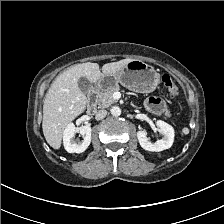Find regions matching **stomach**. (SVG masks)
I'll return each instance as SVG.
<instances>
[{"label": "stomach", "instance_id": "stomach-1", "mask_svg": "<svg viewBox=\"0 0 224 224\" xmlns=\"http://www.w3.org/2000/svg\"><path fill=\"white\" fill-rule=\"evenodd\" d=\"M118 84L138 93H150L159 84V74L153 66L132 59L118 72L103 75L97 82V87L108 89Z\"/></svg>", "mask_w": 224, "mask_h": 224}]
</instances>
